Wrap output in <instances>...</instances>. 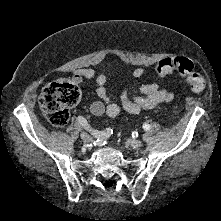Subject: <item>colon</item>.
Listing matches in <instances>:
<instances>
[{
  "label": "colon",
  "instance_id": "colon-1",
  "mask_svg": "<svg viewBox=\"0 0 221 221\" xmlns=\"http://www.w3.org/2000/svg\"><path fill=\"white\" fill-rule=\"evenodd\" d=\"M159 77H165L173 72L183 76L194 92H200L205 87V79L194 71L193 62L185 57L166 58L156 65ZM81 99V90L72 82L60 79L49 83L42 91L39 104L43 116L54 126H64L70 117V109Z\"/></svg>",
  "mask_w": 221,
  "mask_h": 221
}]
</instances>
